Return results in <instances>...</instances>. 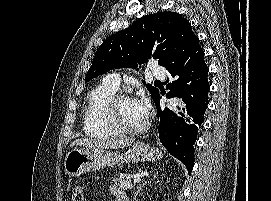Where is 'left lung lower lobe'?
Listing matches in <instances>:
<instances>
[{
    "label": "left lung lower lobe",
    "mask_w": 271,
    "mask_h": 201,
    "mask_svg": "<svg viewBox=\"0 0 271 201\" xmlns=\"http://www.w3.org/2000/svg\"><path fill=\"white\" fill-rule=\"evenodd\" d=\"M166 68L172 78H177L168 84L170 91L167 97L181 98L185 107L183 112L176 115L168 108L161 109L159 92L153 96L160 118L159 138L168 152L179 159L191 174L194 166L193 145L198 125L203 123L210 89L207 79L209 70L198 37L177 45Z\"/></svg>",
    "instance_id": "left-lung-lower-lobe-1"
}]
</instances>
